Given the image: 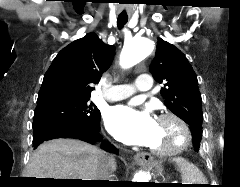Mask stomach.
<instances>
[{
  "label": "stomach",
  "instance_id": "stomach-1",
  "mask_svg": "<svg viewBox=\"0 0 240 187\" xmlns=\"http://www.w3.org/2000/svg\"><path fill=\"white\" fill-rule=\"evenodd\" d=\"M154 167L158 172L162 171V166L160 164H155Z\"/></svg>",
  "mask_w": 240,
  "mask_h": 187
}]
</instances>
